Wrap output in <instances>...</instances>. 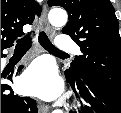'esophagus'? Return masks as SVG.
<instances>
[{"mask_svg":"<svg viewBox=\"0 0 121 113\" xmlns=\"http://www.w3.org/2000/svg\"><path fill=\"white\" fill-rule=\"evenodd\" d=\"M40 23L44 26V29L49 32L51 27L49 25L48 19H47V7L46 5L43 8L42 14L40 16ZM39 110L43 113L48 112L49 107L45 104L40 103Z\"/></svg>","mask_w":121,"mask_h":113,"instance_id":"34e87169","label":"esophagus"}]
</instances>
